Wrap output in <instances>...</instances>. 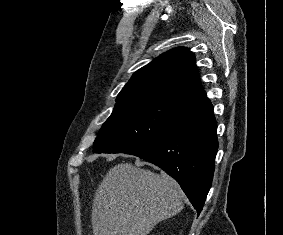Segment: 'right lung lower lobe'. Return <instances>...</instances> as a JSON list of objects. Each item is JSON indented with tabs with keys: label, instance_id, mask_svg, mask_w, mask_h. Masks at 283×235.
<instances>
[{
	"label": "right lung lower lobe",
	"instance_id": "1",
	"mask_svg": "<svg viewBox=\"0 0 283 235\" xmlns=\"http://www.w3.org/2000/svg\"><path fill=\"white\" fill-rule=\"evenodd\" d=\"M216 130L213 106L204 96L189 103L164 133L125 153L149 161L173 177L199 214L213 179Z\"/></svg>",
	"mask_w": 283,
	"mask_h": 235
}]
</instances>
